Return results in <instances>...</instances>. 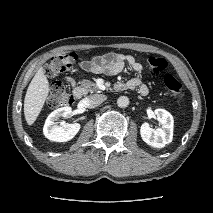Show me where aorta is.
<instances>
[{
	"instance_id": "aorta-1",
	"label": "aorta",
	"mask_w": 213,
	"mask_h": 213,
	"mask_svg": "<svg viewBox=\"0 0 213 213\" xmlns=\"http://www.w3.org/2000/svg\"><path fill=\"white\" fill-rule=\"evenodd\" d=\"M117 105L118 107L120 108H125L129 105V98L126 97V96H120L118 99H117Z\"/></svg>"
}]
</instances>
